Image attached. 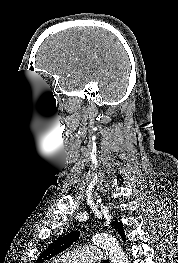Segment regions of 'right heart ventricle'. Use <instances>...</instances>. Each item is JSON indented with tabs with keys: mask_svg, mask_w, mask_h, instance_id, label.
I'll return each instance as SVG.
<instances>
[{
	"mask_svg": "<svg viewBox=\"0 0 178 263\" xmlns=\"http://www.w3.org/2000/svg\"><path fill=\"white\" fill-rule=\"evenodd\" d=\"M52 263H59L57 260L53 261Z\"/></svg>",
	"mask_w": 178,
	"mask_h": 263,
	"instance_id": "right-heart-ventricle-1",
	"label": "right heart ventricle"
}]
</instances>
